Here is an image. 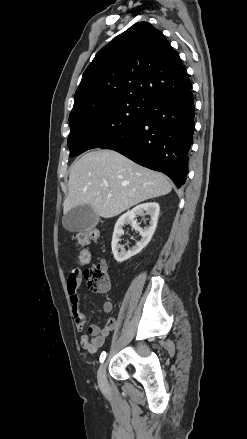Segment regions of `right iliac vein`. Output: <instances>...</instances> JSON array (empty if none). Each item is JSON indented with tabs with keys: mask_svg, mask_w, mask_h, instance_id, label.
<instances>
[{
	"mask_svg": "<svg viewBox=\"0 0 247 439\" xmlns=\"http://www.w3.org/2000/svg\"><path fill=\"white\" fill-rule=\"evenodd\" d=\"M97 377L99 386L104 387L106 385V362L101 364Z\"/></svg>",
	"mask_w": 247,
	"mask_h": 439,
	"instance_id": "obj_1",
	"label": "right iliac vein"
}]
</instances>
